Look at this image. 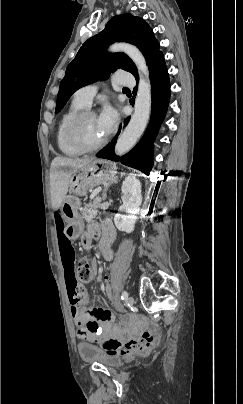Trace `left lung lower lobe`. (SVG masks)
<instances>
[{
    "mask_svg": "<svg viewBox=\"0 0 243 404\" xmlns=\"http://www.w3.org/2000/svg\"><path fill=\"white\" fill-rule=\"evenodd\" d=\"M150 81H151V99H152V111L149 126L136 147L121 158L114 154V145L117 137L121 131L120 129L111 143L105 146L96 155L98 158H105L114 161H121L123 164L139 169L142 172L149 174L152 168V150L153 140L157 134L158 128L162 123L170 98V82L168 70L164 61L163 54L155 58V60L149 66ZM138 82L139 78L136 77ZM137 87L134 88L136 92ZM129 121L127 118L124 121L126 125Z\"/></svg>",
    "mask_w": 243,
    "mask_h": 404,
    "instance_id": "left-lung-lower-lobe-1",
    "label": "left lung lower lobe"
}]
</instances>
